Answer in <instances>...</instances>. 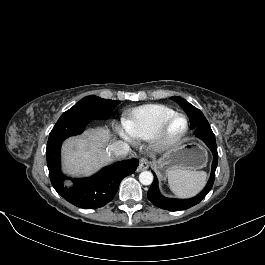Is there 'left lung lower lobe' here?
<instances>
[{"instance_id":"obj_1","label":"left lung lower lobe","mask_w":265,"mask_h":265,"mask_svg":"<svg viewBox=\"0 0 265 265\" xmlns=\"http://www.w3.org/2000/svg\"><path fill=\"white\" fill-rule=\"evenodd\" d=\"M196 137L201 139L212 151L213 153V162H212V172L207 182L205 188L195 197L190 199H172L166 198L161 195L158 188V179L154 173V181L147 193L149 200L159 208L169 210V211H180L186 210L192 206L198 204L211 190L214 179H215V170L218 163V153H217V145L215 141V135L209 124H202L195 128Z\"/></svg>"}]
</instances>
